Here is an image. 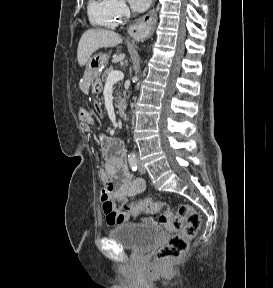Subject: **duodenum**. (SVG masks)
Returning <instances> with one entry per match:
<instances>
[{
  "instance_id": "1",
  "label": "duodenum",
  "mask_w": 273,
  "mask_h": 288,
  "mask_svg": "<svg viewBox=\"0 0 273 288\" xmlns=\"http://www.w3.org/2000/svg\"><path fill=\"white\" fill-rule=\"evenodd\" d=\"M116 112L119 117H124L126 112V102L119 101L115 106Z\"/></svg>"
}]
</instances>
